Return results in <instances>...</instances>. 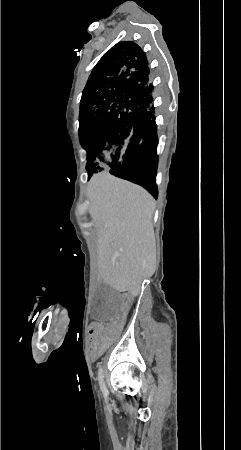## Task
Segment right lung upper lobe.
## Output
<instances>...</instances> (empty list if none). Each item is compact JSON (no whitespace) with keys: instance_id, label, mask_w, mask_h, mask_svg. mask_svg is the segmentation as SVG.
<instances>
[{"instance_id":"right-lung-upper-lobe-1","label":"right lung upper lobe","mask_w":241,"mask_h":450,"mask_svg":"<svg viewBox=\"0 0 241 450\" xmlns=\"http://www.w3.org/2000/svg\"><path fill=\"white\" fill-rule=\"evenodd\" d=\"M150 69L143 50L134 42H119L94 67L87 83L112 85L121 97L146 100Z\"/></svg>"}]
</instances>
